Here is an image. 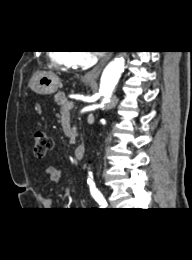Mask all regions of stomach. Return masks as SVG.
<instances>
[{"label":"stomach","instance_id":"stomach-1","mask_svg":"<svg viewBox=\"0 0 192 260\" xmlns=\"http://www.w3.org/2000/svg\"><path fill=\"white\" fill-rule=\"evenodd\" d=\"M87 83H90V81H87ZM30 87L37 94L51 95L61 87V81L53 73H37L32 77Z\"/></svg>","mask_w":192,"mask_h":260}]
</instances>
